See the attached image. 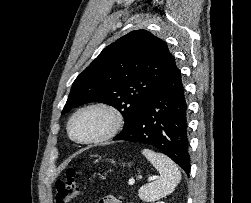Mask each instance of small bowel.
I'll use <instances>...</instances> for the list:
<instances>
[{
  "label": "small bowel",
  "mask_w": 251,
  "mask_h": 203,
  "mask_svg": "<svg viewBox=\"0 0 251 203\" xmlns=\"http://www.w3.org/2000/svg\"><path fill=\"white\" fill-rule=\"evenodd\" d=\"M98 203H122V202L115 197L107 196L99 200Z\"/></svg>",
  "instance_id": "obj_1"
}]
</instances>
